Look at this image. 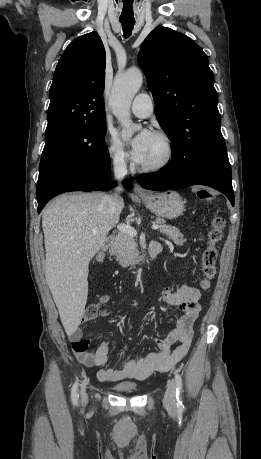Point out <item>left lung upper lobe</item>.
<instances>
[{"instance_id":"5c2ea615","label":"left lung upper lobe","mask_w":261,"mask_h":459,"mask_svg":"<svg viewBox=\"0 0 261 459\" xmlns=\"http://www.w3.org/2000/svg\"><path fill=\"white\" fill-rule=\"evenodd\" d=\"M138 61L157 102V120L172 142L169 163L184 169L200 156L226 150L203 50L186 35L158 26L142 43Z\"/></svg>"}]
</instances>
